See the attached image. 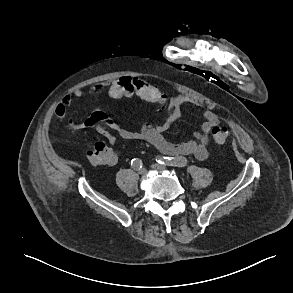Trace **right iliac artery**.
I'll list each match as a JSON object with an SVG mask.
<instances>
[{"mask_svg": "<svg viewBox=\"0 0 293 293\" xmlns=\"http://www.w3.org/2000/svg\"><path fill=\"white\" fill-rule=\"evenodd\" d=\"M142 164H143L142 161L138 158H134L131 160V166H132V168H134L136 170L141 168Z\"/></svg>", "mask_w": 293, "mask_h": 293, "instance_id": "1", "label": "right iliac artery"}]
</instances>
